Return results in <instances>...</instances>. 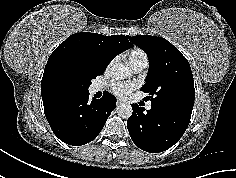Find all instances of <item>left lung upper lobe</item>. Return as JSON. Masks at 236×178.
<instances>
[{
  "instance_id": "5c2ea615",
  "label": "left lung upper lobe",
  "mask_w": 236,
  "mask_h": 178,
  "mask_svg": "<svg viewBox=\"0 0 236 178\" xmlns=\"http://www.w3.org/2000/svg\"><path fill=\"white\" fill-rule=\"evenodd\" d=\"M129 40L148 56L149 70L141 88L151 103L193 109L195 89L190 64L165 38L137 35Z\"/></svg>"
}]
</instances>
